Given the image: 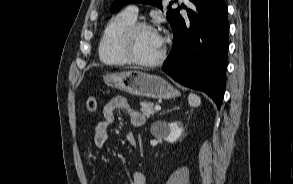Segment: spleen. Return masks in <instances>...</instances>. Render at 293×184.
I'll use <instances>...</instances> for the list:
<instances>
[{"instance_id":"obj_1","label":"spleen","mask_w":293,"mask_h":184,"mask_svg":"<svg viewBox=\"0 0 293 184\" xmlns=\"http://www.w3.org/2000/svg\"><path fill=\"white\" fill-rule=\"evenodd\" d=\"M188 103L191 107H198L201 104V99L198 95L190 93L188 96Z\"/></svg>"}]
</instances>
